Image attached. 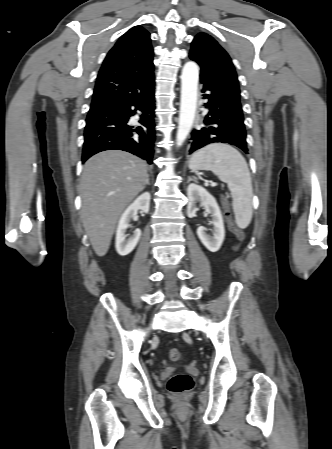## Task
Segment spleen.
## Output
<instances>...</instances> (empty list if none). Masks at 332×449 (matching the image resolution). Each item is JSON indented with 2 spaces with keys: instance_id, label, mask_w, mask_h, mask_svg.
<instances>
[{
  "instance_id": "1",
  "label": "spleen",
  "mask_w": 332,
  "mask_h": 449,
  "mask_svg": "<svg viewBox=\"0 0 332 449\" xmlns=\"http://www.w3.org/2000/svg\"><path fill=\"white\" fill-rule=\"evenodd\" d=\"M189 168L210 170L228 184L236 224L241 229L247 228L253 214V189L248 165L239 151L227 144H210L192 155Z\"/></svg>"
}]
</instances>
